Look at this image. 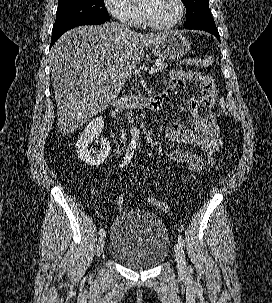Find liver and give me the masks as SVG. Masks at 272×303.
<instances>
[{"label":"liver","instance_id":"liver-1","mask_svg":"<svg viewBox=\"0 0 272 303\" xmlns=\"http://www.w3.org/2000/svg\"><path fill=\"white\" fill-rule=\"evenodd\" d=\"M166 33L142 34L117 22L79 26L51 49L58 128L74 132L115 99L126 79ZM106 77V80H102Z\"/></svg>","mask_w":272,"mask_h":303}]
</instances>
